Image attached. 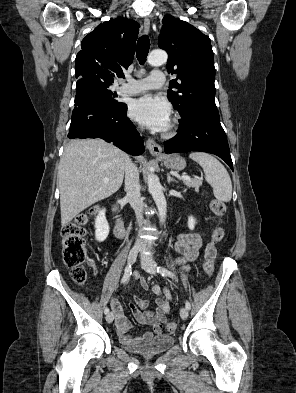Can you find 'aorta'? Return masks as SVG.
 <instances>
[{
    "mask_svg": "<svg viewBox=\"0 0 296 393\" xmlns=\"http://www.w3.org/2000/svg\"><path fill=\"white\" fill-rule=\"evenodd\" d=\"M167 53L163 50H154L148 56V63L152 66H161L167 62ZM148 189L152 195L159 212L160 223L165 222L167 203L162 191V186L156 175L148 174L147 177Z\"/></svg>",
    "mask_w": 296,
    "mask_h": 393,
    "instance_id": "1",
    "label": "aorta"
}]
</instances>
